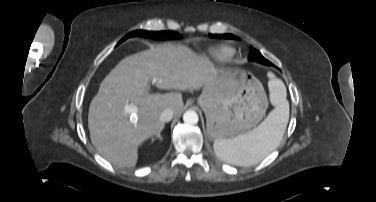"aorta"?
Segmentation results:
<instances>
[{"mask_svg": "<svg viewBox=\"0 0 376 202\" xmlns=\"http://www.w3.org/2000/svg\"><path fill=\"white\" fill-rule=\"evenodd\" d=\"M183 121L187 125H195L199 121L198 114L193 110H187L183 115Z\"/></svg>", "mask_w": 376, "mask_h": 202, "instance_id": "762f6f07", "label": "aorta"}]
</instances>
